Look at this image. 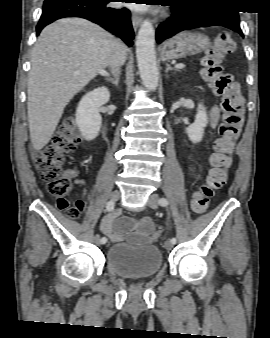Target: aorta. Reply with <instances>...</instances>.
Returning <instances> with one entry per match:
<instances>
[{"mask_svg":"<svg viewBox=\"0 0 270 338\" xmlns=\"http://www.w3.org/2000/svg\"><path fill=\"white\" fill-rule=\"evenodd\" d=\"M136 57L143 84L150 90L158 86V69L155 52V32L152 23L144 20L136 38Z\"/></svg>","mask_w":270,"mask_h":338,"instance_id":"762f6f07","label":"aorta"}]
</instances>
